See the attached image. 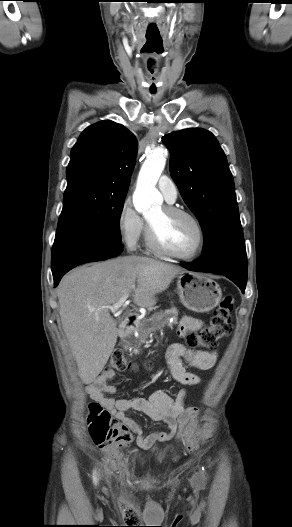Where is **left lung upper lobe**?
Listing matches in <instances>:
<instances>
[{"label": "left lung upper lobe", "instance_id": "obj_1", "mask_svg": "<svg viewBox=\"0 0 292 527\" xmlns=\"http://www.w3.org/2000/svg\"><path fill=\"white\" fill-rule=\"evenodd\" d=\"M170 172L204 231L203 255L244 247L234 180L214 135L198 128L167 134Z\"/></svg>", "mask_w": 292, "mask_h": 527}]
</instances>
